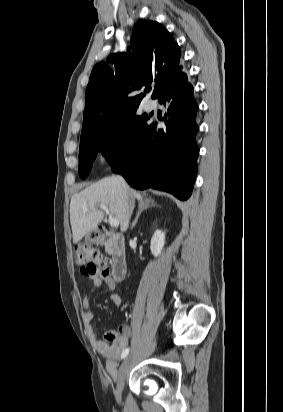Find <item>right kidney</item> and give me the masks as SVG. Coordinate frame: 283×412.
<instances>
[{
	"instance_id": "right-kidney-1",
	"label": "right kidney",
	"mask_w": 283,
	"mask_h": 412,
	"mask_svg": "<svg viewBox=\"0 0 283 412\" xmlns=\"http://www.w3.org/2000/svg\"><path fill=\"white\" fill-rule=\"evenodd\" d=\"M165 244V233L161 230H156L151 239L150 249L155 257L161 254V251Z\"/></svg>"
}]
</instances>
